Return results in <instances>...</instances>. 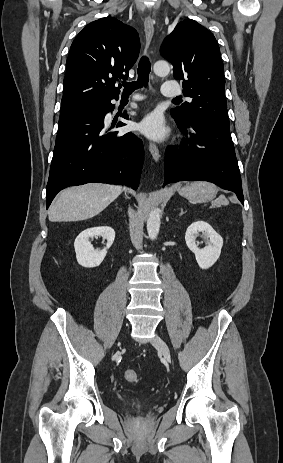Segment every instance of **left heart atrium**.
<instances>
[{"mask_svg": "<svg viewBox=\"0 0 283 463\" xmlns=\"http://www.w3.org/2000/svg\"><path fill=\"white\" fill-rule=\"evenodd\" d=\"M141 131L148 137L156 140L163 139L167 134V129L163 123L161 115L152 113L148 115L140 125Z\"/></svg>", "mask_w": 283, "mask_h": 463, "instance_id": "1", "label": "left heart atrium"}]
</instances>
